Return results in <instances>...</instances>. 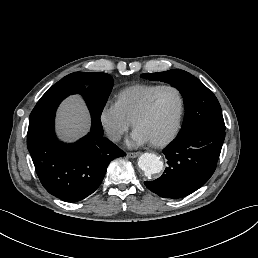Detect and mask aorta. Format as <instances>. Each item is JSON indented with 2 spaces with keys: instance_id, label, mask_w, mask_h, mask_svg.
<instances>
[{
  "instance_id": "762f6f07",
  "label": "aorta",
  "mask_w": 258,
  "mask_h": 258,
  "mask_svg": "<svg viewBox=\"0 0 258 258\" xmlns=\"http://www.w3.org/2000/svg\"><path fill=\"white\" fill-rule=\"evenodd\" d=\"M138 165L147 176L159 173L163 169V162L154 153L142 154L139 158Z\"/></svg>"
}]
</instances>
